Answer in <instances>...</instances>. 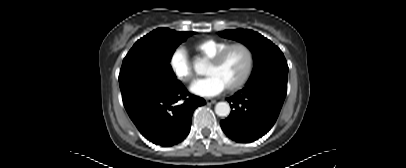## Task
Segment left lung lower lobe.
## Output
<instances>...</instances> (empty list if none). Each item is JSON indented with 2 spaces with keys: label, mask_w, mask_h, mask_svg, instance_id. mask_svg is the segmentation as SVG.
<instances>
[{
  "label": "left lung lower lobe",
  "mask_w": 406,
  "mask_h": 168,
  "mask_svg": "<svg viewBox=\"0 0 406 168\" xmlns=\"http://www.w3.org/2000/svg\"><path fill=\"white\" fill-rule=\"evenodd\" d=\"M287 92V85L258 83L247 85L228 98L233 109L220 122L225 134L240 143L253 142L274 125Z\"/></svg>",
  "instance_id": "0a47b994"
}]
</instances>
